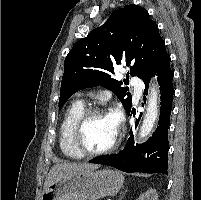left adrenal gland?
I'll list each match as a JSON object with an SVG mask.
<instances>
[{
    "mask_svg": "<svg viewBox=\"0 0 201 200\" xmlns=\"http://www.w3.org/2000/svg\"><path fill=\"white\" fill-rule=\"evenodd\" d=\"M127 192V190H125L124 192L121 193V196L119 198V200H121V198L123 197V195Z\"/></svg>",
    "mask_w": 201,
    "mask_h": 200,
    "instance_id": "a2214340",
    "label": "left adrenal gland"
}]
</instances>
